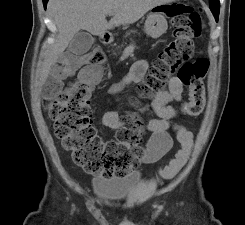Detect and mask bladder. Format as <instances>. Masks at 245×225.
Returning <instances> with one entry per match:
<instances>
[{
	"label": "bladder",
	"instance_id": "31cf9c89",
	"mask_svg": "<svg viewBox=\"0 0 245 225\" xmlns=\"http://www.w3.org/2000/svg\"><path fill=\"white\" fill-rule=\"evenodd\" d=\"M142 183L144 180L140 171H134L127 176L93 179L94 190L101 200L127 199L135 194Z\"/></svg>",
	"mask_w": 245,
	"mask_h": 225
}]
</instances>
